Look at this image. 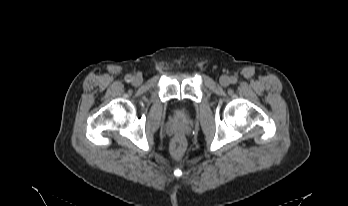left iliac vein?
<instances>
[{
    "label": "left iliac vein",
    "mask_w": 348,
    "mask_h": 206,
    "mask_svg": "<svg viewBox=\"0 0 348 206\" xmlns=\"http://www.w3.org/2000/svg\"><path fill=\"white\" fill-rule=\"evenodd\" d=\"M219 82L221 86L226 87L230 84V78L226 75L220 77Z\"/></svg>",
    "instance_id": "obj_1"
}]
</instances>
